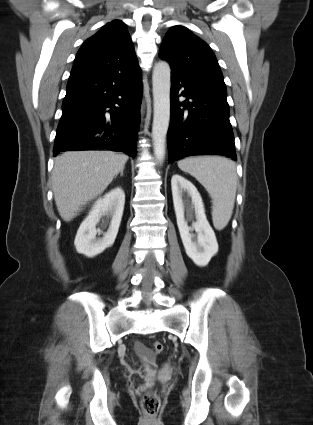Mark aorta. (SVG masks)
Masks as SVG:
<instances>
[{
	"label": "aorta",
	"mask_w": 313,
	"mask_h": 425,
	"mask_svg": "<svg viewBox=\"0 0 313 425\" xmlns=\"http://www.w3.org/2000/svg\"><path fill=\"white\" fill-rule=\"evenodd\" d=\"M171 69L165 61L155 64L152 74L154 115L152 124V138L154 155L158 162L165 156L166 135L170 121V87Z\"/></svg>",
	"instance_id": "762f6f07"
}]
</instances>
